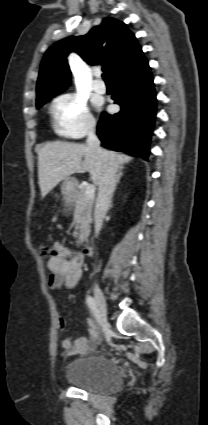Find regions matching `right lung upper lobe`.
I'll return each mask as SVG.
<instances>
[{"label":"right lung upper lobe","mask_w":208,"mask_h":425,"mask_svg":"<svg viewBox=\"0 0 208 425\" xmlns=\"http://www.w3.org/2000/svg\"><path fill=\"white\" fill-rule=\"evenodd\" d=\"M76 52L89 65L102 64L111 79L136 65L144 56L133 33L123 22L105 18L86 35L67 37L45 53L37 81V103L70 85L67 55Z\"/></svg>","instance_id":"right-lung-upper-lobe-1"}]
</instances>
